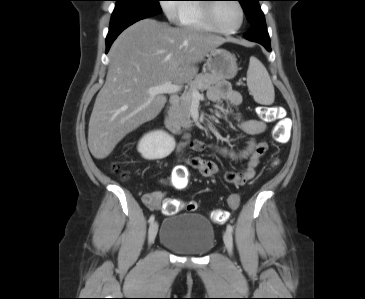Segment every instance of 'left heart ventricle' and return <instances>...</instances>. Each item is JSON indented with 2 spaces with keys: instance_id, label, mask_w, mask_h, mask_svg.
Returning a JSON list of instances; mask_svg holds the SVG:
<instances>
[{
  "instance_id": "b2bd125f",
  "label": "left heart ventricle",
  "mask_w": 365,
  "mask_h": 299,
  "mask_svg": "<svg viewBox=\"0 0 365 299\" xmlns=\"http://www.w3.org/2000/svg\"><path fill=\"white\" fill-rule=\"evenodd\" d=\"M214 16L216 25L224 29L237 27L241 20L240 10L236 3L232 1L218 3Z\"/></svg>"
}]
</instances>
